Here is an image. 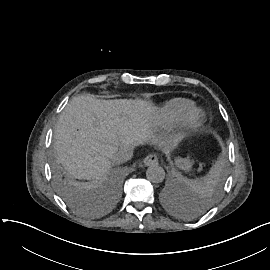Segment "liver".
<instances>
[{"label":"liver","instance_id":"obj_1","mask_svg":"<svg viewBox=\"0 0 270 270\" xmlns=\"http://www.w3.org/2000/svg\"><path fill=\"white\" fill-rule=\"evenodd\" d=\"M152 110L146 100L74 97L56 126L54 143L58 160L76 178H106L120 148L147 139Z\"/></svg>","mask_w":270,"mask_h":270}]
</instances>
